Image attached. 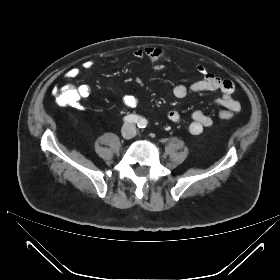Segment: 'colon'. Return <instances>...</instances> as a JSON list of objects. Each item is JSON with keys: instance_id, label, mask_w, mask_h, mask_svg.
Here are the masks:
<instances>
[{"instance_id": "colon-1", "label": "colon", "mask_w": 280, "mask_h": 280, "mask_svg": "<svg viewBox=\"0 0 280 280\" xmlns=\"http://www.w3.org/2000/svg\"><path fill=\"white\" fill-rule=\"evenodd\" d=\"M54 96H55V101L60 106H71L79 101L78 92L76 88L70 83H67L63 87L57 89L54 93ZM219 116L222 119L231 118L230 114L228 113H222Z\"/></svg>"}]
</instances>
